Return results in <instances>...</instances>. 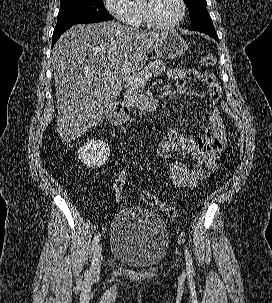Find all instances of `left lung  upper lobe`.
Masks as SVG:
<instances>
[{
    "mask_svg": "<svg viewBox=\"0 0 272 303\" xmlns=\"http://www.w3.org/2000/svg\"><path fill=\"white\" fill-rule=\"evenodd\" d=\"M188 6L191 18L189 30L193 31H209L215 30L210 20L209 13L206 9V0H184Z\"/></svg>",
    "mask_w": 272,
    "mask_h": 303,
    "instance_id": "left-lung-upper-lobe-1",
    "label": "left lung upper lobe"
}]
</instances>
